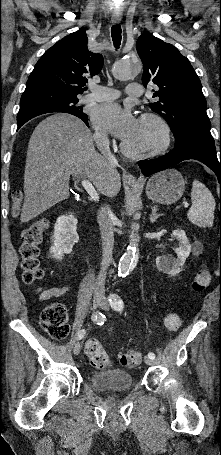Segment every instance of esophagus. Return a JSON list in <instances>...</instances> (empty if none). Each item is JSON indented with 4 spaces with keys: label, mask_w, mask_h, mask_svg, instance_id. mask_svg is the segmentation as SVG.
<instances>
[{
    "label": "esophagus",
    "mask_w": 221,
    "mask_h": 455,
    "mask_svg": "<svg viewBox=\"0 0 221 455\" xmlns=\"http://www.w3.org/2000/svg\"><path fill=\"white\" fill-rule=\"evenodd\" d=\"M112 23L117 24L121 21V16L120 15H113L111 18ZM124 179L129 183V184H136L138 183L137 179L135 176L132 174L126 173L124 174Z\"/></svg>",
    "instance_id": "1"
}]
</instances>
